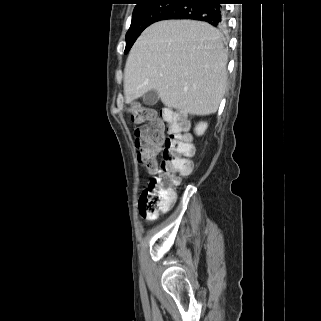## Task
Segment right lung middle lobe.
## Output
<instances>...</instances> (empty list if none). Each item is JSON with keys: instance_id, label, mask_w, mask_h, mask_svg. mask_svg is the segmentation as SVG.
Segmentation results:
<instances>
[{"instance_id": "right-lung-middle-lobe-1", "label": "right lung middle lobe", "mask_w": 321, "mask_h": 321, "mask_svg": "<svg viewBox=\"0 0 321 321\" xmlns=\"http://www.w3.org/2000/svg\"><path fill=\"white\" fill-rule=\"evenodd\" d=\"M177 4V0H152L135 7L130 28L126 34L127 53L142 31L154 22L166 11Z\"/></svg>"}]
</instances>
